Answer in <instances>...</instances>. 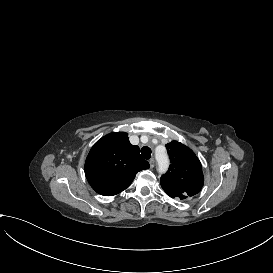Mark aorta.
I'll use <instances>...</instances> for the list:
<instances>
[{
  "mask_svg": "<svg viewBox=\"0 0 273 273\" xmlns=\"http://www.w3.org/2000/svg\"><path fill=\"white\" fill-rule=\"evenodd\" d=\"M156 160L158 162V171L160 173L165 172L168 167V157L165 151H157L156 153Z\"/></svg>",
  "mask_w": 273,
  "mask_h": 273,
  "instance_id": "1",
  "label": "aorta"
}]
</instances>
